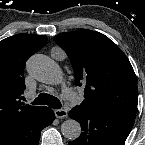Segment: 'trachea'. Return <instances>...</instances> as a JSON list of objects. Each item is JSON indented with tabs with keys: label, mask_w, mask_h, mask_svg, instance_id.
Masks as SVG:
<instances>
[{
	"label": "trachea",
	"mask_w": 145,
	"mask_h": 145,
	"mask_svg": "<svg viewBox=\"0 0 145 145\" xmlns=\"http://www.w3.org/2000/svg\"><path fill=\"white\" fill-rule=\"evenodd\" d=\"M33 105H38V104H43V105H48L49 107L53 109H60L61 108V103L60 101L47 93H41L33 102Z\"/></svg>",
	"instance_id": "obj_1"
}]
</instances>
